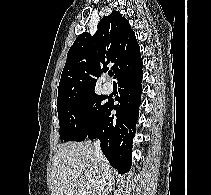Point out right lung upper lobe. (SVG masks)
<instances>
[{"instance_id":"right-lung-upper-lobe-1","label":"right lung upper lobe","mask_w":211,"mask_h":195,"mask_svg":"<svg viewBox=\"0 0 211 195\" xmlns=\"http://www.w3.org/2000/svg\"><path fill=\"white\" fill-rule=\"evenodd\" d=\"M142 63L129 22L117 11L104 16L97 32L79 35L68 51L57 104L94 92L97 78L112 64L115 78Z\"/></svg>"}]
</instances>
